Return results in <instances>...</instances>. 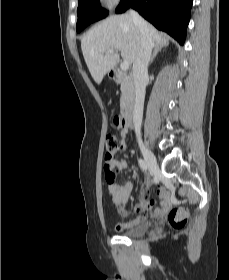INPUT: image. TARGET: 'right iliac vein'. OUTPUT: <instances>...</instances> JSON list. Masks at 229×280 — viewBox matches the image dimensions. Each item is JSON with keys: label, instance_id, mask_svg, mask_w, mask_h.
Here are the masks:
<instances>
[{"label": "right iliac vein", "instance_id": "obj_1", "mask_svg": "<svg viewBox=\"0 0 229 280\" xmlns=\"http://www.w3.org/2000/svg\"><path fill=\"white\" fill-rule=\"evenodd\" d=\"M139 146L150 170V173L154 175L159 170L154 154L142 142L139 143Z\"/></svg>", "mask_w": 229, "mask_h": 280}]
</instances>
